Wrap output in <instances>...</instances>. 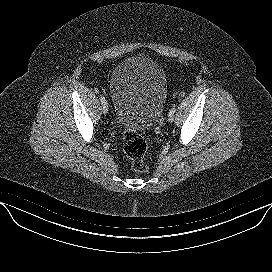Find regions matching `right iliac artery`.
I'll return each instance as SVG.
<instances>
[{
  "mask_svg": "<svg viewBox=\"0 0 272 272\" xmlns=\"http://www.w3.org/2000/svg\"><path fill=\"white\" fill-rule=\"evenodd\" d=\"M100 101L102 105H104L107 102L106 99L102 95L100 96Z\"/></svg>",
  "mask_w": 272,
  "mask_h": 272,
  "instance_id": "obj_1",
  "label": "right iliac artery"
}]
</instances>
